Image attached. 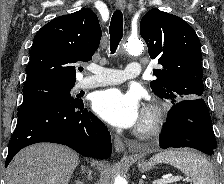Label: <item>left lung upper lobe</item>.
Listing matches in <instances>:
<instances>
[{
  "label": "left lung upper lobe",
  "instance_id": "obj_1",
  "mask_svg": "<svg viewBox=\"0 0 224 184\" xmlns=\"http://www.w3.org/2000/svg\"><path fill=\"white\" fill-rule=\"evenodd\" d=\"M140 34L150 57L161 65L153 70L157 79L150 83L152 91L172 104L201 98L202 56L195 30L178 16L152 9L140 22Z\"/></svg>",
  "mask_w": 224,
  "mask_h": 184
}]
</instances>
